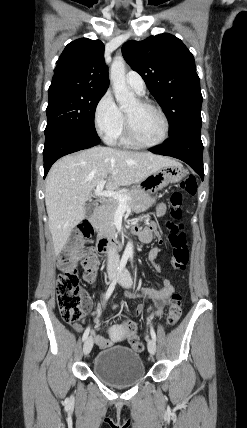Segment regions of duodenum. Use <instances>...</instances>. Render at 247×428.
<instances>
[{
    "mask_svg": "<svg viewBox=\"0 0 247 428\" xmlns=\"http://www.w3.org/2000/svg\"><path fill=\"white\" fill-rule=\"evenodd\" d=\"M103 202L104 201L102 199H98L96 201V206L100 207L103 204ZM131 230L138 234L141 228L137 223H135L132 225ZM123 239H124L123 233H114L111 235H104L99 239L97 248L100 252H104V253L116 251L122 247Z\"/></svg>",
    "mask_w": 247,
    "mask_h": 428,
    "instance_id": "1",
    "label": "duodenum"
}]
</instances>
